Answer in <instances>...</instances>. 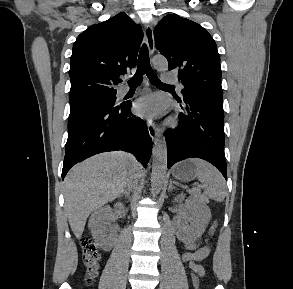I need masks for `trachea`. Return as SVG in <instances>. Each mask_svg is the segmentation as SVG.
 I'll use <instances>...</instances> for the list:
<instances>
[{
  "instance_id": "trachea-1",
  "label": "trachea",
  "mask_w": 293,
  "mask_h": 289,
  "mask_svg": "<svg viewBox=\"0 0 293 289\" xmlns=\"http://www.w3.org/2000/svg\"><path fill=\"white\" fill-rule=\"evenodd\" d=\"M146 73L150 82L155 86H168L161 82L155 72L152 70L149 60V51L146 44H143L139 53L137 71L129 81L130 86H137L142 82L143 75Z\"/></svg>"
}]
</instances>
